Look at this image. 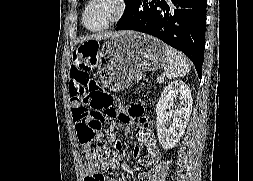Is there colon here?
<instances>
[{"instance_id": "obj_1", "label": "colon", "mask_w": 253, "mask_h": 181, "mask_svg": "<svg viewBox=\"0 0 253 181\" xmlns=\"http://www.w3.org/2000/svg\"><path fill=\"white\" fill-rule=\"evenodd\" d=\"M100 41L88 38L74 50V59L96 60ZM77 139L87 153L91 167H103L108 160V149L103 139V124L116 113V98L100 89L96 81H90L88 91L72 99ZM90 178V177H89Z\"/></svg>"}]
</instances>
